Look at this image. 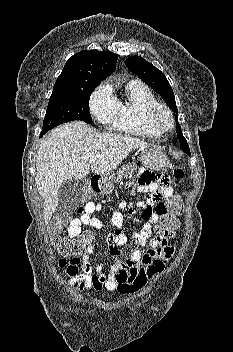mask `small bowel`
<instances>
[{"label": "small bowel", "instance_id": "obj_1", "mask_svg": "<svg viewBox=\"0 0 233 352\" xmlns=\"http://www.w3.org/2000/svg\"><path fill=\"white\" fill-rule=\"evenodd\" d=\"M138 175L137 191L147 193V197L145 201L140 203V207L143 209L141 215L143 223L133 237L137 244H147L149 250L146 253L135 250L126 262L119 260L121 255L120 247L128 242V238L122 230L123 215L118 211L113 212L111 224L114 227V231L110 237V254L114 259V263L109 272H104L103 264L93 265L90 262V255L93 251L91 246L84 249L81 254L82 259L74 257L68 263L64 260L59 261V266L66 268L69 284L75 290L84 292L93 288L92 276L97 274L103 278L102 286L107 290H117L121 294L131 293L160 273L164 268V261L171 258L174 254L175 247L169 245L168 240L173 238L175 234L172 231L167 233L158 231L161 216L157 210H153L155 203L159 205L162 199L173 195L169 179L164 175L146 169H140ZM121 207H124V204H121ZM101 210V204L91 201L87 202L84 206V213L70 221L68 235L71 238H77L81 234L83 225L100 229L102 223L93 214ZM128 213L132 214L133 210L129 208ZM154 229L157 231V235L152 238L151 235Z\"/></svg>", "mask_w": 233, "mask_h": 352}]
</instances>
